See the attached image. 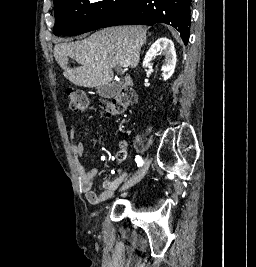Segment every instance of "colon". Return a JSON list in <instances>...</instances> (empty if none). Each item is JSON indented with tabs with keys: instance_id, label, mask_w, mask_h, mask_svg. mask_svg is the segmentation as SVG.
<instances>
[{
	"instance_id": "5ec220e1",
	"label": "colon",
	"mask_w": 256,
	"mask_h": 267,
	"mask_svg": "<svg viewBox=\"0 0 256 267\" xmlns=\"http://www.w3.org/2000/svg\"><path fill=\"white\" fill-rule=\"evenodd\" d=\"M68 106L74 113H87L90 108V102L87 95L80 89L69 90L67 92ZM133 95L129 90L123 91L117 97L110 98L103 103V109L109 114H123L132 104ZM120 158L124 153L119 154Z\"/></svg>"
}]
</instances>
